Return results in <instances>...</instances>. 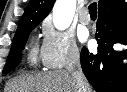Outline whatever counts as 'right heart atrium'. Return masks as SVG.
Here are the masks:
<instances>
[{"label": "right heart atrium", "instance_id": "1", "mask_svg": "<svg viewBox=\"0 0 127 92\" xmlns=\"http://www.w3.org/2000/svg\"><path fill=\"white\" fill-rule=\"evenodd\" d=\"M42 32L40 57L46 69H62L79 60L80 50L72 33L55 29L49 23L43 24Z\"/></svg>", "mask_w": 127, "mask_h": 92}]
</instances>
